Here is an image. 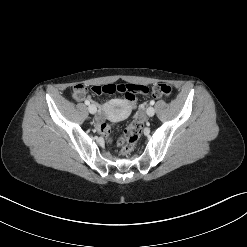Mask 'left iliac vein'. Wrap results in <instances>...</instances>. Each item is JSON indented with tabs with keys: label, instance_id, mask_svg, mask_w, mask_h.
Here are the masks:
<instances>
[{
	"label": "left iliac vein",
	"instance_id": "1",
	"mask_svg": "<svg viewBox=\"0 0 247 247\" xmlns=\"http://www.w3.org/2000/svg\"><path fill=\"white\" fill-rule=\"evenodd\" d=\"M146 112L148 116L152 117L155 114V109L152 106H149Z\"/></svg>",
	"mask_w": 247,
	"mask_h": 247
}]
</instances>
